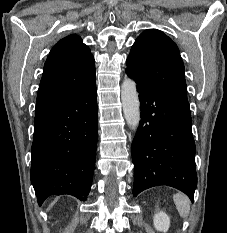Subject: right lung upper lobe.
I'll return each instance as SVG.
<instances>
[{"label": "right lung upper lobe", "instance_id": "obj_1", "mask_svg": "<svg viewBox=\"0 0 227 233\" xmlns=\"http://www.w3.org/2000/svg\"><path fill=\"white\" fill-rule=\"evenodd\" d=\"M94 82V58L89 47L76 34L61 39L45 62L35 115L73 97Z\"/></svg>", "mask_w": 227, "mask_h": 233}]
</instances>
